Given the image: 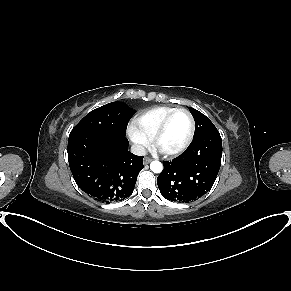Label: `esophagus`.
I'll return each mask as SVG.
<instances>
[{
	"instance_id": "1",
	"label": "esophagus",
	"mask_w": 291,
	"mask_h": 291,
	"mask_svg": "<svg viewBox=\"0 0 291 291\" xmlns=\"http://www.w3.org/2000/svg\"><path fill=\"white\" fill-rule=\"evenodd\" d=\"M143 161H144V164H148V163H150L152 161V159L149 158V157H144Z\"/></svg>"
}]
</instances>
